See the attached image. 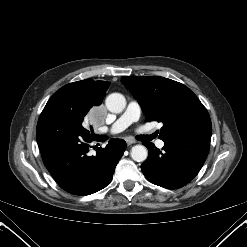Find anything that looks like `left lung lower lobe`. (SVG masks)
Returning a JSON list of instances; mask_svg holds the SVG:
<instances>
[{"instance_id":"1","label":"left lung lower lobe","mask_w":247,"mask_h":247,"mask_svg":"<svg viewBox=\"0 0 247 247\" xmlns=\"http://www.w3.org/2000/svg\"><path fill=\"white\" fill-rule=\"evenodd\" d=\"M211 134H187L164 141L160 151L145 143L148 158L141 165L145 177L158 186L177 189L189 183L203 166L210 147Z\"/></svg>"}]
</instances>
